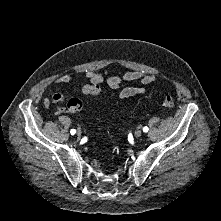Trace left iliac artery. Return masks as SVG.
I'll use <instances>...</instances> for the list:
<instances>
[{
    "mask_svg": "<svg viewBox=\"0 0 221 221\" xmlns=\"http://www.w3.org/2000/svg\"><path fill=\"white\" fill-rule=\"evenodd\" d=\"M148 127L147 126H145L144 128H143V132H148Z\"/></svg>",
    "mask_w": 221,
    "mask_h": 221,
    "instance_id": "1",
    "label": "left iliac artery"
}]
</instances>
